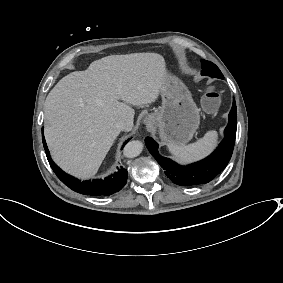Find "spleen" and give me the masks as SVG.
Instances as JSON below:
<instances>
[{
    "label": "spleen",
    "mask_w": 283,
    "mask_h": 283,
    "mask_svg": "<svg viewBox=\"0 0 283 283\" xmlns=\"http://www.w3.org/2000/svg\"><path fill=\"white\" fill-rule=\"evenodd\" d=\"M218 134L216 131H208L203 138L189 145L169 144V151L180 163H188L204 158L212 152L217 145Z\"/></svg>",
    "instance_id": "3e777b00"
}]
</instances>
